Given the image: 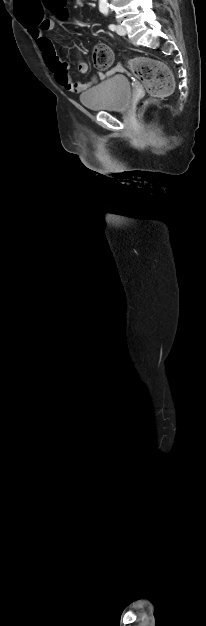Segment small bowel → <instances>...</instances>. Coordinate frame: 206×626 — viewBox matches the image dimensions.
Instances as JSON below:
<instances>
[{
	"label": "small bowel",
	"mask_w": 206,
	"mask_h": 626,
	"mask_svg": "<svg viewBox=\"0 0 206 626\" xmlns=\"http://www.w3.org/2000/svg\"><path fill=\"white\" fill-rule=\"evenodd\" d=\"M75 5L77 7H81L83 5V1L76 0ZM53 27L54 23L51 19H40L36 24H28L27 26V28H29V33L33 40L36 42L45 63L47 64L50 71L53 73L57 83L61 85L64 89L74 94H82L97 81L105 79L106 77L112 75L122 68L121 65H117L106 74L101 72L98 73L89 82H75L69 74V64L58 58L51 39L44 34L45 31H50L53 29ZM77 67L79 72L82 74H85L88 71V65L83 60L78 61Z\"/></svg>",
	"instance_id": "1"
}]
</instances>
